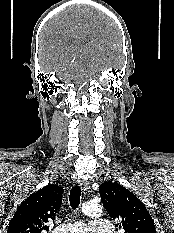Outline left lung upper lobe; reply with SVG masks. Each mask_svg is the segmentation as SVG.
<instances>
[{"mask_svg":"<svg viewBox=\"0 0 174 233\" xmlns=\"http://www.w3.org/2000/svg\"><path fill=\"white\" fill-rule=\"evenodd\" d=\"M99 193L109 216L125 233H156L146 207L128 189L116 182H104L99 186Z\"/></svg>","mask_w":174,"mask_h":233,"instance_id":"1","label":"left lung upper lobe"}]
</instances>
